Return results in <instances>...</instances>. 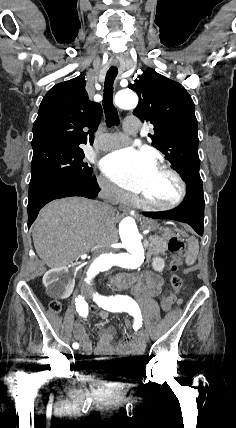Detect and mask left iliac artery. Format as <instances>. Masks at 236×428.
Returning <instances> with one entry per match:
<instances>
[{"label": "left iliac artery", "instance_id": "44dca946", "mask_svg": "<svg viewBox=\"0 0 236 428\" xmlns=\"http://www.w3.org/2000/svg\"><path fill=\"white\" fill-rule=\"evenodd\" d=\"M93 301H95L99 307L110 312H126L129 309L137 306L138 304L129 296L116 295V296H101L98 293L93 294Z\"/></svg>", "mask_w": 236, "mask_h": 428}]
</instances>
